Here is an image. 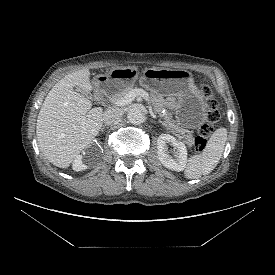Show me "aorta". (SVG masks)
<instances>
[{"label": "aorta", "instance_id": "1", "mask_svg": "<svg viewBox=\"0 0 275 275\" xmlns=\"http://www.w3.org/2000/svg\"><path fill=\"white\" fill-rule=\"evenodd\" d=\"M127 118L132 124L139 125L144 122L145 116L141 110L131 108L127 113Z\"/></svg>", "mask_w": 275, "mask_h": 275}]
</instances>
